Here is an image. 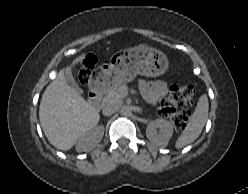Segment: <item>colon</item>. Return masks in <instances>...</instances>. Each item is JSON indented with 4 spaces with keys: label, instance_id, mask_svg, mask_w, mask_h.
I'll return each instance as SVG.
<instances>
[{
    "label": "colon",
    "instance_id": "1",
    "mask_svg": "<svg viewBox=\"0 0 248 194\" xmlns=\"http://www.w3.org/2000/svg\"><path fill=\"white\" fill-rule=\"evenodd\" d=\"M94 60L88 59L77 70V78L81 84H86L94 76ZM195 89L190 85H174L169 95L160 104V114L169 119L177 131L186 128L189 118V108L194 103Z\"/></svg>",
    "mask_w": 248,
    "mask_h": 194
}]
</instances>
